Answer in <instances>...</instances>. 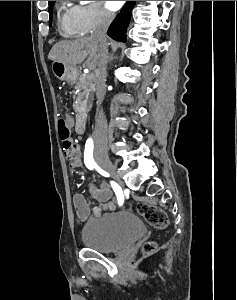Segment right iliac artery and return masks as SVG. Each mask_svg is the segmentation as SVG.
I'll return each mask as SVG.
<instances>
[{
	"instance_id": "obj_1",
	"label": "right iliac artery",
	"mask_w": 237,
	"mask_h": 300,
	"mask_svg": "<svg viewBox=\"0 0 237 300\" xmlns=\"http://www.w3.org/2000/svg\"><path fill=\"white\" fill-rule=\"evenodd\" d=\"M84 162H85L86 167L90 170H93L98 167L93 159V140L91 138H89L86 141L85 152H84ZM111 186L117 196L119 205H122L123 199L120 195V187L114 181H111Z\"/></svg>"
}]
</instances>
